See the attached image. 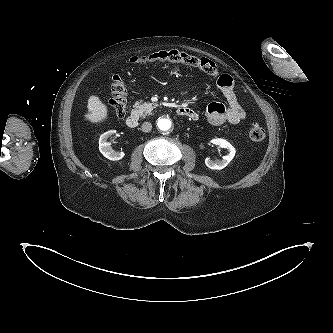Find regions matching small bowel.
I'll use <instances>...</instances> for the list:
<instances>
[{"mask_svg":"<svg viewBox=\"0 0 333 333\" xmlns=\"http://www.w3.org/2000/svg\"><path fill=\"white\" fill-rule=\"evenodd\" d=\"M217 85L223 93L227 105L219 102L210 103L206 109V120L208 123L212 125H221L226 122L230 124H238L242 122L245 119L246 114L235 94L232 78L227 74H223L219 76ZM182 116L192 120L198 119L197 112L189 107H185Z\"/></svg>","mask_w":333,"mask_h":333,"instance_id":"1","label":"small bowel"}]
</instances>
